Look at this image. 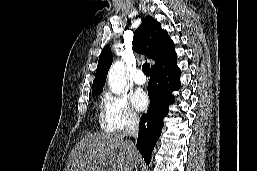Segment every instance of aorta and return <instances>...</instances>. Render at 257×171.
Returning a JSON list of instances; mask_svg holds the SVG:
<instances>
[{
  "instance_id": "obj_1",
  "label": "aorta",
  "mask_w": 257,
  "mask_h": 171,
  "mask_svg": "<svg viewBox=\"0 0 257 171\" xmlns=\"http://www.w3.org/2000/svg\"><path fill=\"white\" fill-rule=\"evenodd\" d=\"M108 84L114 94L124 92L126 86L125 67L122 61L115 62L108 72Z\"/></svg>"
}]
</instances>
